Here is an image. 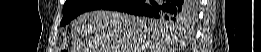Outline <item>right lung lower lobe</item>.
<instances>
[{
  "mask_svg": "<svg viewBox=\"0 0 261 52\" xmlns=\"http://www.w3.org/2000/svg\"><path fill=\"white\" fill-rule=\"evenodd\" d=\"M188 8L187 2L183 0H121L114 1L102 9L158 18L160 16H178Z\"/></svg>",
  "mask_w": 261,
  "mask_h": 52,
  "instance_id": "1",
  "label": "right lung lower lobe"
}]
</instances>
